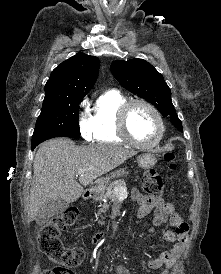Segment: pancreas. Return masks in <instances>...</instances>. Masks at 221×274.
<instances>
[{"label": "pancreas", "instance_id": "1", "mask_svg": "<svg viewBox=\"0 0 221 274\" xmlns=\"http://www.w3.org/2000/svg\"><path fill=\"white\" fill-rule=\"evenodd\" d=\"M120 192H123L125 195L127 194L126 183L124 180H117L112 182L107 188L106 193L99 194L97 199H107L111 201H116L118 199ZM109 206L110 204L105 203L103 205V208L100 209V211L96 214V217H98L101 214V212H106V208H108ZM99 224H103V222L99 221Z\"/></svg>", "mask_w": 221, "mask_h": 274}]
</instances>
